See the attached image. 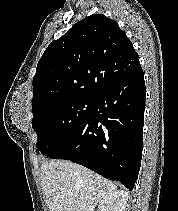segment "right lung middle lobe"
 Returning <instances> with one entry per match:
<instances>
[{"mask_svg": "<svg viewBox=\"0 0 178 211\" xmlns=\"http://www.w3.org/2000/svg\"><path fill=\"white\" fill-rule=\"evenodd\" d=\"M93 99H70L52 103L33 114L36 147L46 155L75 132L91 113Z\"/></svg>", "mask_w": 178, "mask_h": 211, "instance_id": "1", "label": "right lung middle lobe"}]
</instances>
